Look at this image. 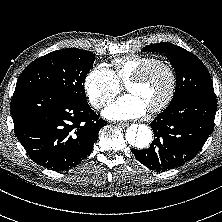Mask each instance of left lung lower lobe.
<instances>
[{
  "label": "left lung lower lobe",
  "instance_id": "1",
  "mask_svg": "<svg viewBox=\"0 0 222 222\" xmlns=\"http://www.w3.org/2000/svg\"><path fill=\"white\" fill-rule=\"evenodd\" d=\"M216 99L190 97L167 107L151 122L154 141L144 150L132 149L146 167L165 171L194 158L213 131Z\"/></svg>",
  "mask_w": 222,
  "mask_h": 222
}]
</instances>
